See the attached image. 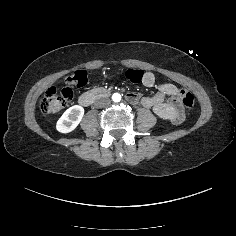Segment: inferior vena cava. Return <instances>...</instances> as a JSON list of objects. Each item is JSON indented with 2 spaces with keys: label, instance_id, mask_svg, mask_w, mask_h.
Segmentation results:
<instances>
[{
  "label": "inferior vena cava",
  "instance_id": "602c4592",
  "mask_svg": "<svg viewBox=\"0 0 236 236\" xmlns=\"http://www.w3.org/2000/svg\"><path fill=\"white\" fill-rule=\"evenodd\" d=\"M110 104V101L106 98H101V99H98L94 102V106L96 108H102L104 106H107Z\"/></svg>",
  "mask_w": 236,
  "mask_h": 236
}]
</instances>
